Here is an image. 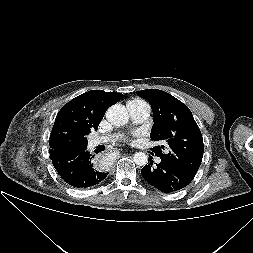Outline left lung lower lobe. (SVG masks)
<instances>
[{
  "mask_svg": "<svg viewBox=\"0 0 253 253\" xmlns=\"http://www.w3.org/2000/svg\"><path fill=\"white\" fill-rule=\"evenodd\" d=\"M141 175L148 184L165 193L180 190L193 180L162 160L156 165H153L152 160H148V164L141 170Z\"/></svg>",
  "mask_w": 253,
  "mask_h": 253,
  "instance_id": "0a47b994",
  "label": "left lung lower lobe"
}]
</instances>
